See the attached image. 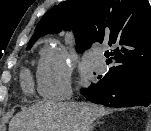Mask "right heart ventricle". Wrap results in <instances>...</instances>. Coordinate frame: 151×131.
Segmentation results:
<instances>
[{"label": "right heart ventricle", "mask_w": 151, "mask_h": 131, "mask_svg": "<svg viewBox=\"0 0 151 131\" xmlns=\"http://www.w3.org/2000/svg\"><path fill=\"white\" fill-rule=\"evenodd\" d=\"M23 88L26 92H30L31 90V81L27 74L23 75Z\"/></svg>", "instance_id": "obj_1"}]
</instances>
